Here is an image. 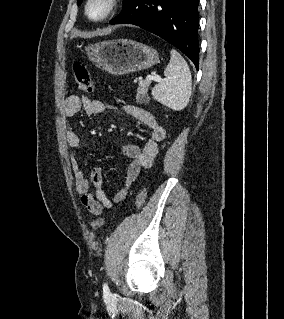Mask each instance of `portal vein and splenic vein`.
<instances>
[{
    "mask_svg": "<svg viewBox=\"0 0 284 319\" xmlns=\"http://www.w3.org/2000/svg\"><path fill=\"white\" fill-rule=\"evenodd\" d=\"M146 81L147 82H151V81L161 82L162 78L161 77H156V76H153V75H147L146 76Z\"/></svg>",
    "mask_w": 284,
    "mask_h": 319,
    "instance_id": "portal-vein-and-splenic-vein-1",
    "label": "portal vein and splenic vein"
}]
</instances>
